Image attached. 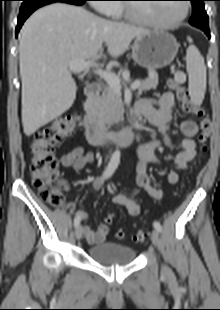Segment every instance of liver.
<instances>
[{"label":"liver","mask_w":220,"mask_h":310,"mask_svg":"<svg viewBox=\"0 0 220 310\" xmlns=\"http://www.w3.org/2000/svg\"><path fill=\"white\" fill-rule=\"evenodd\" d=\"M149 30L109 21L82 7L55 3L33 13L21 30L22 124L30 136L65 113L76 98L69 65L108 47L113 58Z\"/></svg>","instance_id":"liver-1"}]
</instances>
